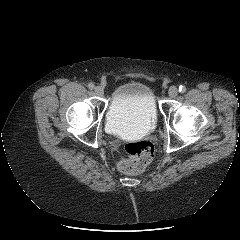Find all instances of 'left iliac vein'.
Segmentation results:
<instances>
[{
	"label": "left iliac vein",
	"instance_id": "left-iliac-vein-1",
	"mask_svg": "<svg viewBox=\"0 0 240 240\" xmlns=\"http://www.w3.org/2000/svg\"><path fill=\"white\" fill-rule=\"evenodd\" d=\"M168 94H169V96L170 97H176L177 96V94H178V89H177V87H175V86H171L170 88H169V90H168Z\"/></svg>",
	"mask_w": 240,
	"mask_h": 240
}]
</instances>
